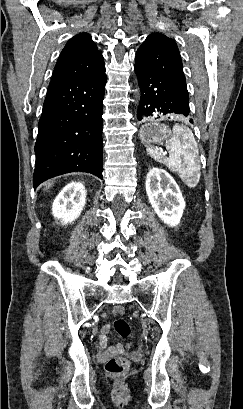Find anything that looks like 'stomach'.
<instances>
[{
  "label": "stomach",
  "mask_w": 243,
  "mask_h": 409,
  "mask_svg": "<svg viewBox=\"0 0 243 409\" xmlns=\"http://www.w3.org/2000/svg\"><path fill=\"white\" fill-rule=\"evenodd\" d=\"M139 136L141 141L148 145L167 141L172 137V132L166 125L152 121L141 127Z\"/></svg>",
  "instance_id": "stomach-1"
}]
</instances>
